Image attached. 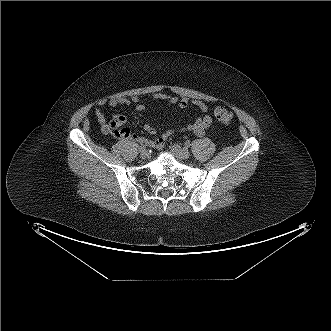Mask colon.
<instances>
[{"label":"colon","mask_w":331,"mask_h":331,"mask_svg":"<svg viewBox=\"0 0 331 331\" xmlns=\"http://www.w3.org/2000/svg\"><path fill=\"white\" fill-rule=\"evenodd\" d=\"M213 114L215 118L224 125H229L233 120V113L226 107L218 106L214 108Z\"/></svg>","instance_id":"obj_1"}]
</instances>
